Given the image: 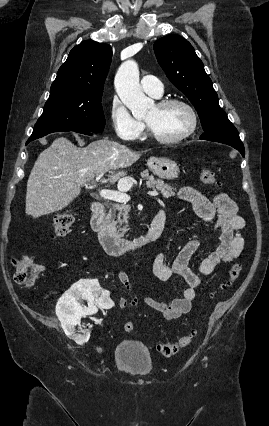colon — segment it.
Returning <instances> with one entry per match:
<instances>
[{
	"instance_id": "1",
	"label": "colon",
	"mask_w": 269,
	"mask_h": 426,
	"mask_svg": "<svg viewBox=\"0 0 269 426\" xmlns=\"http://www.w3.org/2000/svg\"><path fill=\"white\" fill-rule=\"evenodd\" d=\"M200 177L201 180L209 186L218 185V181L216 180L214 173L208 168H202ZM74 221L75 216L70 210H64L56 213L53 218L52 225L53 235L55 237H64L68 235ZM12 267L14 269V280L18 284L26 286L34 284L38 280L41 272V266L29 255L14 257L12 259ZM240 271L241 266L239 264H234L228 272L227 280L223 287L232 285L239 278ZM134 329L135 325L133 322L128 321L124 324V330L126 332H133ZM195 334V331H191L176 342L160 343L158 345V351L166 357L173 356L182 348L189 346L193 342Z\"/></svg>"
}]
</instances>
